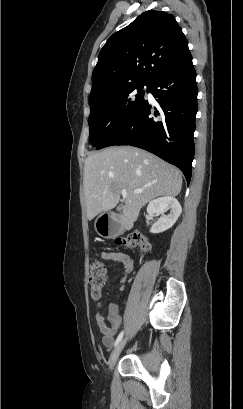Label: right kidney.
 Instances as JSON below:
<instances>
[{
	"mask_svg": "<svg viewBox=\"0 0 243 409\" xmlns=\"http://www.w3.org/2000/svg\"><path fill=\"white\" fill-rule=\"evenodd\" d=\"M170 210L168 215L164 213ZM182 212L178 200L171 196L160 197L152 200L147 206V213L153 216L155 213L162 214L159 220L151 227V233H161L171 228Z\"/></svg>",
	"mask_w": 243,
	"mask_h": 409,
	"instance_id": "ca27d5eb",
	"label": "right kidney"
}]
</instances>
